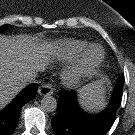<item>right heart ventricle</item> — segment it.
Masks as SVG:
<instances>
[{
	"label": "right heart ventricle",
	"mask_w": 135,
	"mask_h": 135,
	"mask_svg": "<svg viewBox=\"0 0 135 135\" xmlns=\"http://www.w3.org/2000/svg\"><path fill=\"white\" fill-rule=\"evenodd\" d=\"M87 47V42L85 41H71L65 44V51L71 55H79Z\"/></svg>",
	"instance_id": "1"
}]
</instances>
